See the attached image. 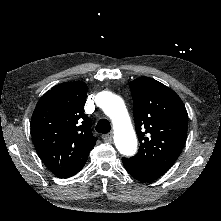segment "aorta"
I'll return each instance as SVG.
<instances>
[{
    "label": "aorta",
    "instance_id": "obj_1",
    "mask_svg": "<svg viewBox=\"0 0 221 221\" xmlns=\"http://www.w3.org/2000/svg\"><path fill=\"white\" fill-rule=\"evenodd\" d=\"M102 109L112 121L117 150L122 155L133 156L137 152V138L124 101L117 95H110Z\"/></svg>",
    "mask_w": 221,
    "mask_h": 221
}]
</instances>
